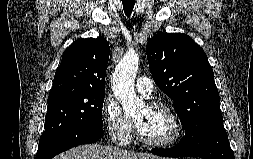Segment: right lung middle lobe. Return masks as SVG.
Listing matches in <instances>:
<instances>
[{"instance_id":"dd1d6c3e","label":"right lung middle lobe","mask_w":253,"mask_h":159,"mask_svg":"<svg viewBox=\"0 0 253 159\" xmlns=\"http://www.w3.org/2000/svg\"><path fill=\"white\" fill-rule=\"evenodd\" d=\"M104 97L105 91H88L48 98L46 126L38 149L72 131L102 129Z\"/></svg>"}]
</instances>
